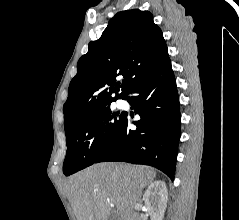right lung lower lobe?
<instances>
[{"mask_svg": "<svg viewBox=\"0 0 239 220\" xmlns=\"http://www.w3.org/2000/svg\"><path fill=\"white\" fill-rule=\"evenodd\" d=\"M125 97L141 119L131 122L125 114L111 143L95 163L125 161L156 167L174 179L181 116L176 80L170 59L140 80ZM133 123L136 130L128 129Z\"/></svg>", "mask_w": 239, "mask_h": 220, "instance_id": "obj_1", "label": "right lung lower lobe"}]
</instances>
